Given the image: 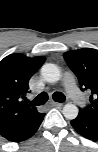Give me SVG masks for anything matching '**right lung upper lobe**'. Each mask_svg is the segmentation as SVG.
<instances>
[{
  "label": "right lung upper lobe",
  "mask_w": 98,
  "mask_h": 152,
  "mask_svg": "<svg viewBox=\"0 0 98 152\" xmlns=\"http://www.w3.org/2000/svg\"><path fill=\"white\" fill-rule=\"evenodd\" d=\"M45 57L11 54L0 62V135L25 125L39 112L27 104L28 82L45 62Z\"/></svg>",
  "instance_id": "cb5924a9"
}]
</instances>
